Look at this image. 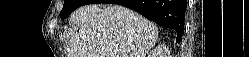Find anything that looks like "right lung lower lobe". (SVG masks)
Returning a JSON list of instances; mask_svg holds the SVG:
<instances>
[{
    "instance_id": "98d812e1",
    "label": "right lung lower lobe",
    "mask_w": 249,
    "mask_h": 57,
    "mask_svg": "<svg viewBox=\"0 0 249 57\" xmlns=\"http://www.w3.org/2000/svg\"><path fill=\"white\" fill-rule=\"evenodd\" d=\"M97 4H119L133 9L155 23L177 31L176 41L184 33L185 0H92Z\"/></svg>"
}]
</instances>
